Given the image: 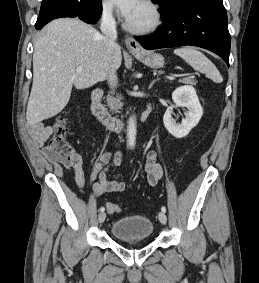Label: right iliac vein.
I'll use <instances>...</instances> for the list:
<instances>
[{"mask_svg": "<svg viewBox=\"0 0 259 283\" xmlns=\"http://www.w3.org/2000/svg\"><path fill=\"white\" fill-rule=\"evenodd\" d=\"M106 219V213L105 212H100L98 215V222L103 223Z\"/></svg>", "mask_w": 259, "mask_h": 283, "instance_id": "obj_1", "label": "right iliac vein"}]
</instances>
